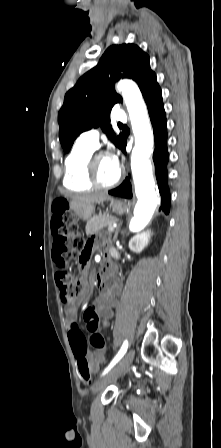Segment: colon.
Listing matches in <instances>:
<instances>
[{
    "mask_svg": "<svg viewBox=\"0 0 221 448\" xmlns=\"http://www.w3.org/2000/svg\"><path fill=\"white\" fill-rule=\"evenodd\" d=\"M56 215L52 219V226L56 229L55 250L53 259L59 267L56 279L60 289L62 303L69 307L75 303L76 298L83 292V285L72 274L69 261L78 258L80 262L87 263L90 249L79 232L76 216L69 212L68 203L59 200L55 204ZM84 321L89 332V344L98 349L104 348V337L98 332L99 318L93 308L84 313ZM69 339L77 359V367L81 378L90 383L92 371L86 358L87 340L81 336L80 329L72 324Z\"/></svg>",
    "mask_w": 221,
    "mask_h": 448,
    "instance_id": "obj_1",
    "label": "colon"
}]
</instances>
